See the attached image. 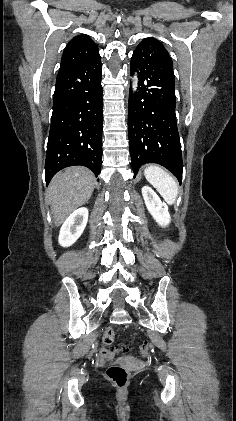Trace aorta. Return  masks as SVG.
<instances>
[{
	"label": "aorta",
	"instance_id": "762f6f07",
	"mask_svg": "<svg viewBox=\"0 0 236 421\" xmlns=\"http://www.w3.org/2000/svg\"><path fill=\"white\" fill-rule=\"evenodd\" d=\"M135 86H136V82H133V88H135Z\"/></svg>",
	"mask_w": 236,
	"mask_h": 421
}]
</instances>
